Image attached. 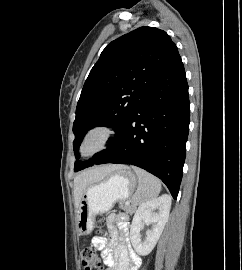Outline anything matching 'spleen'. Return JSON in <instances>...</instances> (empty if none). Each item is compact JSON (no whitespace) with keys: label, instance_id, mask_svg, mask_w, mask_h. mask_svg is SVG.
I'll return each instance as SVG.
<instances>
[{"label":"spleen","instance_id":"1","mask_svg":"<svg viewBox=\"0 0 242 270\" xmlns=\"http://www.w3.org/2000/svg\"><path fill=\"white\" fill-rule=\"evenodd\" d=\"M138 177V188L132 197V202L136 205L156 199L161 191L159 179L138 167H133Z\"/></svg>","mask_w":242,"mask_h":270}]
</instances>
